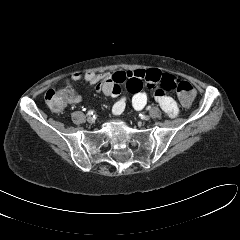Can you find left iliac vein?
<instances>
[{
    "mask_svg": "<svg viewBox=\"0 0 240 240\" xmlns=\"http://www.w3.org/2000/svg\"><path fill=\"white\" fill-rule=\"evenodd\" d=\"M142 119H143L144 121H148V120H150V116L144 115V116L142 117Z\"/></svg>",
    "mask_w": 240,
    "mask_h": 240,
    "instance_id": "1",
    "label": "left iliac vein"
}]
</instances>
